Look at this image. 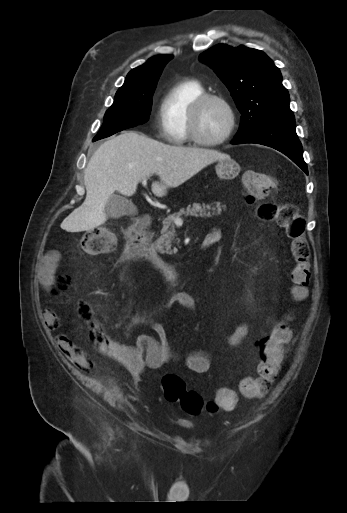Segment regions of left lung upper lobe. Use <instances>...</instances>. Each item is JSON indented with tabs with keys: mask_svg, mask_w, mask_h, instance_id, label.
Returning a JSON list of instances; mask_svg holds the SVG:
<instances>
[{
	"mask_svg": "<svg viewBox=\"0 0 347 513\" xmlns=\"http://www.w3.org/2000/svg\"><path fill=\"white\" fill-rule=\"evenodd\" d=\"M199 58L214 69L242 114L235 138L271 122L295 121L280 70L262 51L220 44Z\"/></svg>",
	"mask_w": 347,
	"mask_h": 513,
	"instance_id": "1",
	"label": "left lung upper lobe"
}]
</instances>
